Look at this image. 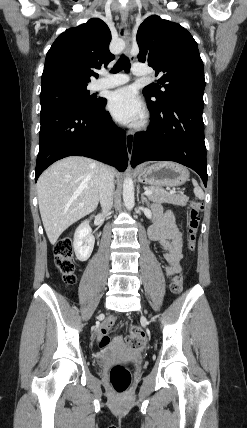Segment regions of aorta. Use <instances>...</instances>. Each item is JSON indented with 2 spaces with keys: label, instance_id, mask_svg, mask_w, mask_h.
I'll return each instance as SVG.
<instances>
[{
  "label": "aorta",
  "instance_id": "obj_1",
  "mask_svg": "<svg viewBox=\"0 0 247 428\" xmlns=\"http://www.w3.org/2000/svg\"><path fill=\"white\" fill-rule=\"evenodd\" d=\"M123 201L128 210H131L134 207V185L133 180L130 177L125 178L123 182Z\"/></svg>",
  "mask_w": 247,
  "mask_h": 428
}]
</instances>
